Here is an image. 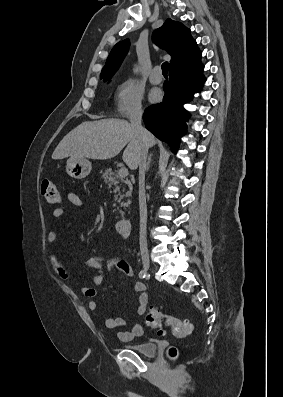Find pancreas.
<instances>
[{
    "label": "pancreas",
    "mask_w": 283,
    "mask_h": 397,
    "mask_svg": "<svg viewBox=\"0 0 283 397\" xmlns=\"http://www.w3.org/2000/svg\"><path fill=\"white\" fill-rule=\"evenodd\" d=\"M103 178L105 183L108 184L109 188H111L114 185V191L118 192V194L115 196V200L121 201L124 197L130 198L131 197V192H132V184L128 179H125L124 177H120L118 175V172H112L111 168L105 170L103 173ZM122 183H125L128 185L129 189L126 191L125 194L121 193V185ZM124 192V189H123ZM130 204V200L128 199L127 202H121L122 207H127ZM121 216L124 215V212L120 210Z\"/></svg>",
    "instance_id": "obj_1"
}]
</instances>
